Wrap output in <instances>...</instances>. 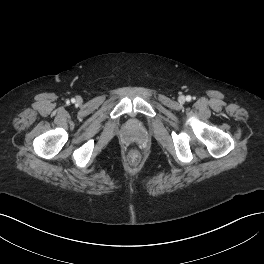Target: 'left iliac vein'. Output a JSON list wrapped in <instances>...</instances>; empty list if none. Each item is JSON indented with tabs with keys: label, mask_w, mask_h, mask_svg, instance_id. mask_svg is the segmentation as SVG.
<instances>
[{
	"label": "left iliac vein",
	"mask_w": 264,
	"mask_h": 264,
	"mask_svg": "<svg viewBox=\"0 0 264 264\" xmlns=\"http://www.w3.org/2000/svg\"><path fill=\"white\" fill-rule=\"evenodd\" d=\"M179 102L180 103H184L185 102V97L184 96H180L179 97Z\"/></svg>",
	"instance_id": "left-iliac-vein-1"
}]
</instances>
